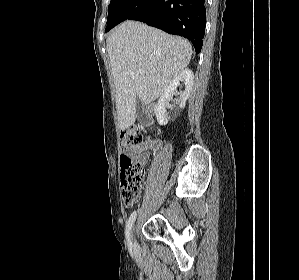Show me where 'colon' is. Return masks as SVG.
<instances>
[{"instance_id":"5ec220e1","label":"colon","mask_w":299,"mask_h":280,"mask_svg":"<svg viewBox=\"0 0 299 280\" xmlns=\"http://www.w3.org/2000/svg\"><path fill=\"white\" fill-rule=\"evenodd\" d=\"M142 142L143 134L139 127L132 126L121 132L124 152L120 157V182L122 199L127 206L137 201L145 179L144 161L132 159L127 151Z\"/></svg>"}]
</instances>
